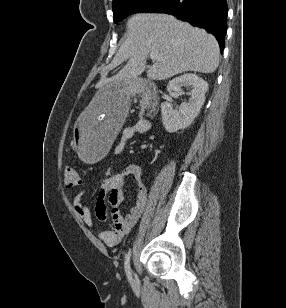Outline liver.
Masks as SVG:
<instances>
[{"label":"liver","mask_w":286,"mask_h":308,"mask_svg":"<svg viewBox=\"0 0 286 308\" xmlns=\"http://www.w3.org/2000/svg\"><path fill=\"white\" fill-rule=\"evenodd\" d=\"M127 27V38L112 62L102 68L96 88L135 79L144 72L146 59L155 50L162 58L147 72L153 80H165L186 71L213 73L219 65L220 50L215 37L171 15L137 14L128 20ZM126 60L116 75L107 77L109 71Z\"/></svg>","instance_id":"1"}]
</instances>
